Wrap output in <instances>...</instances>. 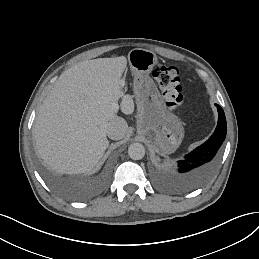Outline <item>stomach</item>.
Segmentation results:
<instances>
[{"label": "stomach", "instance_id": "0dacf381", "mask_svg": "<svg viewBox=\"0 0 259 259\" xmlns=\"http://www.w3.org/2000/svg\"><path fill=\"white\" fill-rule=\"evenodd\" d=\"M128 62L134 75H146L157 64V56L151 50L135 48L128 53Z\"/></svg>", "mask_w": 259, "mask_h": 259}]
</instances>
